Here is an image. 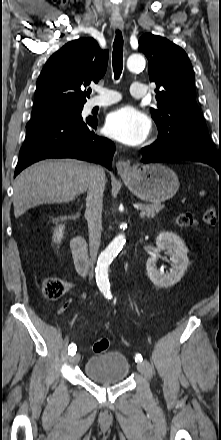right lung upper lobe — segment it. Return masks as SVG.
Returning a JSON list of instances; mask_svg holds the SVG:
<instances>
[{
  "label": "right lung upper lobe",
  "instance_id": "obj_1",
  "mask_svg": "<svg viewBox=\"0 0 221 440\" xmlns=\"http://www.w3.org/2000/svg\"><path fill=\"white\" fill-rule=\"evenodd\" d=\"M108 51L93 38H80L65 44L45 64L37 80L34 110L83 106L91 82L106 72Z\"/></svg>",
  "mask_w": 221,
  "mask_h": 440
}]
</instances>
